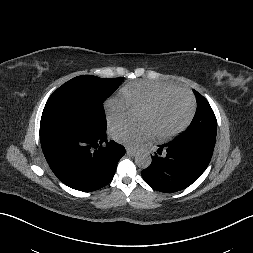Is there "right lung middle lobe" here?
Wrapping results in <instances>:
<instances>
[{
  "label": "right lung middle lobe",
  "mask_w": 253,
  "mask_h": 253,
  "mask_svg": "<svg viewBox=\"0 0 253 253\" xmlns=\"http://www.w3.org/2000/svg\"><path fill=\"white\" fill-rule=\"evenodd\" d=\"M123 78L77 76L60 86L48 99L41 125L61 122L92 133L106 132L103 102L120 86Z\"/></svg>",
  "instance_id": "dd1d6c3e"
}]
</instances>
